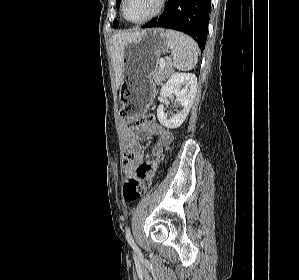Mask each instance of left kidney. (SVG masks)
Returning <instances> with one entry per match:
<instances>
[{
	"instance_id": "1",
	"label": "left kidney",
	"mask_w": 299,
	"mask_h": 280,
	"mask_svg": "<svg viewBox=\"0 0 299 280\" xmlns=\"http://www.w3.org/2000/svg\"><path fill=\"white\" fill-rule=\"evenodd\" d=\"M197 91V78L192 73H174L163 85L160 95L167 102V97L171 94L176 96V102L181 105L182 109L172 118H168L164 112V104L157 108V117L159 122L170 129L178 128L185 121L193 104Z\"/></svg>"
}]
</instances>
